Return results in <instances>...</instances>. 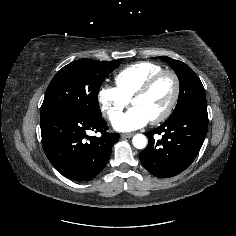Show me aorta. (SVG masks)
<instances>
[{"label": "aorta", "mask_w": 236, "mask_h": 236, "mask_svg": "<svg viewBox=\"0 0 236 236\" xmlns=\"http://www.w3.org/2000/svg\"><path fill=\"white\" fill-rule=\"evenodd\" d=\"M133 146L137 149H143L147 145V138L143 134H136L132 139Z\"/></svg>", "instance_id": "762f6f07"}]
</instances>
